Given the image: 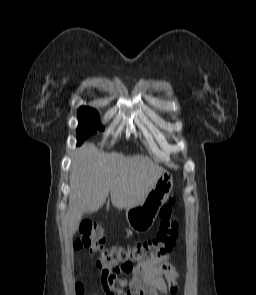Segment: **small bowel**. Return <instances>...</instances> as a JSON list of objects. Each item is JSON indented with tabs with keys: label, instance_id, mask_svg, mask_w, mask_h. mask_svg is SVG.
<instances>
[{
	"label": "small bowel",
	"instance_id": "c3829d8e",
	"mask_svg": "<svg viewBox=\"0 0 256 295\" xmlns=\"http://www.w3.org/2000/svg\"><path fill=\"white\" fill-rule=\"evenodd\" d=\"M170 256L148 261L131 270L101 271L100 284L105 295H166L176 292L180 275ZM122 272L132 274L129 280L120 278ZM124 287L128 290L125 291Z\"/></svg>",
	"mask_w": 256,
	"mask_h": 295
}]
</instances>
